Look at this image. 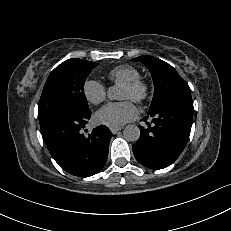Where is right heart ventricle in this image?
<instances>
[{
	"label": "right heart ventricle",
	"instance_id": "e07e8e85",
	"mask_svg": "<svg viewBox=\"0 0 231 231\" xmlns=\"http://www.w3.org/2000/svg\"><path fill=\"white\" fill-rule=\"evenodd\" d=\"M108 78L114 83L124 84L140 78V74L130 65H120L109 71Z\"/></svg>",
	"mask_w": 231,
	"mask_h": 231
}]
</instances>
